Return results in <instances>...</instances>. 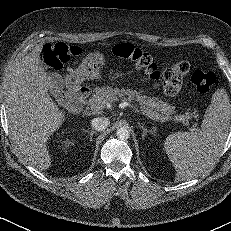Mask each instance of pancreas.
Listing matches in <instances>:
<instances>
[{
    "instance_id": "pancreas-1",
    "label": "pancreas",
    "mask_w": 231,
    "mask_h": 231,
    "mask_svg": "<svg viewBox=\"0 0 231 231\" xmlns=\"http://www.w3.org/2000/svg\"><path fill=\"white\" fill-rule=\"evenodd\" d=\"M135 101L146 114L153 119L165 122L169 120L177 121V118L182 115H174L175 107L169 105L167 102L160 100L157 97H148L141 95L140 92L131 89H120L111 86L96 87L93 91L92 97L89 98L88 104L99 102L103 108L107 103L113 101ZM186 118L191 117V114H184Z\"/></svg>"
}]
</instances>
